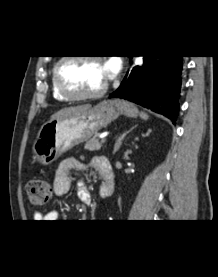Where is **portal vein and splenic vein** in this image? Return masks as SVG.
<instances>
[{
  "label": "portal vein and splenic vein",
  "instance_id": "portal-vein-and-splenic-vein-1",
  "mask_svg": "<svg viewBox=\"0 0 218 277\" xmlns=\"http://www.w3.org/2000/svg\"><path fill=\"white\" fill-rule=\"evenodd\" d=\"M105 142H106V138L105 137L101 138V143H105Z\"/></svg>",
  "mask_w": 218,
  "mask_h": 277
}]
</instances>
